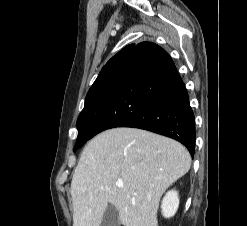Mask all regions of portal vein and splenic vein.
Returning a JSON list of instances; mask_svg holds the SVG:
<instances>
[{"instance_id": "18ae733b", "label": "portal vein and splenic vein", "mask_w": 247, "mask_h": 226, "mask_svg": "<svg viewBox=\"0 0 247 226\" xmlns=\"http://www.w3.org/2000/svg\"><path fill=\"white\" fill-rule=\"evenodd\" d=\"M116 185L118 188H123V183H117Z\"/></svg>"}]
</instances>
